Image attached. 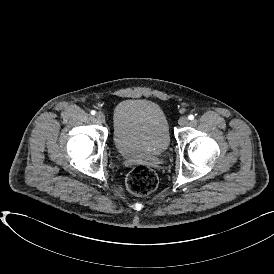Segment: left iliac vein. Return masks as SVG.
Segmentation results:
<instances>
[{
  "label": "left iliac vein",
  "instance_id": "obj_1",
  "mask_svg": "<svg viewBox=\"0 0 274 274\" xmlns=\"http://www.w3.org/2000/svg\"><path fill=\"white\" fill-rule=\"evenodd\" d=\"M178 123L180 126H185L189 123V119L186 116H182L179 118Z\"/></svg>",
  "mask_w": 274,
  "mask_h": 274
}]
</instances>
